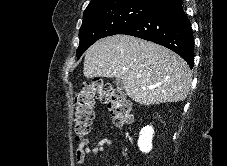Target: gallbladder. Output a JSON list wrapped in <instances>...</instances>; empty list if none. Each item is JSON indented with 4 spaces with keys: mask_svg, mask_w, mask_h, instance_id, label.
I'll return each mask as SVG.
<instances>
[{
    "mask_svg": "<svg viewBox=\"0 0 227 166\" xmlns=\"http://www.w3.org/2000/svg\"><path fill=\"white\" fill-rule=\"evenodd\" d=\"M114 83H115L116 86H117L118 88H120V89H122V88L124 87V85H123L121 79H118V78L115 79Z\"/></svg>",
    "mask_w": 227,
    "mask_h": 166,
    "instance_id": "1",
    "label": "gallbladder"
}]
</instances>
